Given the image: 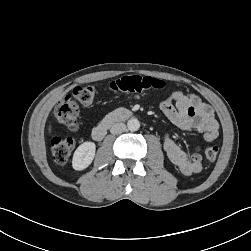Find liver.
I'll use <instances>...</instances> for the list:
<instances>
[{
  "mask_svg": "<svg viewBox=\"0 0 251 251\" xmlns=\"http://www.w3.org/2000/svg\"><path fill=\"white\" fill-rule=\"evenodd\" d=\"M51 132V126H49V133Z\"/></svg>",
  "mask_w": 251,
  "mask_h": 251,
  "instance_id": "6515ba94",
  "label": "liver"
}]
</instances>
